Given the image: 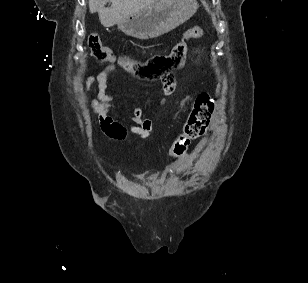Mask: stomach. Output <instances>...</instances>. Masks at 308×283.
<instances>
[{"label": "stomach", "mask_w": 308, "mask_h": 283, "mask_svg": "<svg viewBox=\"0 0 308 283\" xmlns=\"http://www.w3.org/2000/svg\"><path fill=\"white\" fill-rule=\"evenodd\" d=\"M196 0H160L117 23L126 35L147 40L174 30L194 15Z\"/></svg>", "instance_id": "0dacf381"}]
</instances>
